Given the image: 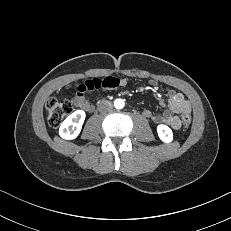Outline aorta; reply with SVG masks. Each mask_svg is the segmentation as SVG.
<instances>
[{
    "instance_id": "aorta-1",
    "label": "aorta",
    "mask_w": 231,
    "mask_h": 231,
    "mask_svg": "<svg viewBox=\"0 0 231 231\" xmlns=\"http://www.w3.org/2000/svg\"><path fill=\"white\" fill-rule=\"evenodd\" d=\"M124 105H125V103H124V101L122 99H116L114 101V107L116 109H122L124 107Z\"/></svg>"
}]
</instances>
